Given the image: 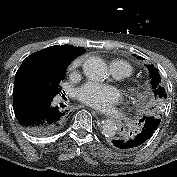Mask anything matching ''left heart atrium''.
<instances>
[{"label":"left heart atrium","mask_w":177,"mask_h":177,"mask_svg":"<svg viewBox=\"0 0 177 177\" xmlns=\"http://www.w3.org/2000/svg\"><path fill=\"white\" fill-rule=\"evenodd\" d=\"M77 97L90 107L106 111L121 101L122 94L114 86L88 82L77 90Z\"/></svg>","instance_id":"obj_1"}]
</instances>
